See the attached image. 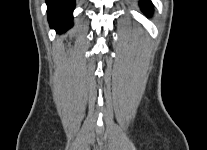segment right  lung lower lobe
I'll use <instances>...</instances> for the list:
<instances>
[{
    "label": "right lung lower lobe",
    "instance_id": "1",
    "mask_svg": "<svg viewBox=\"0 0 207 150\" xmlns=\"http://www.w3.org/2000/svg\"><path fill=\"white\" fill-rule=\"evenodd\" d=\"M48 21L57 33H63L72 26L74 0H46Z\"/></svg>",
    "mask_w": 207,
    "mask_h": 150
}]
</instances>
